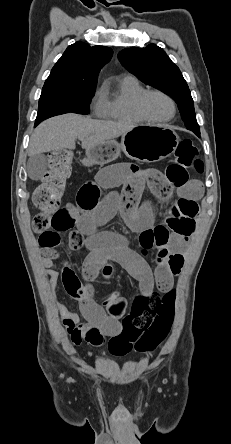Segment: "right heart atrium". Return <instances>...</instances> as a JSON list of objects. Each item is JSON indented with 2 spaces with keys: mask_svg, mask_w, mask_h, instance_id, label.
Masks as SVG:
<instances>
[{
  "mask_svg": "<svg viewBox=\"0 0 231 444\" xmlns=\"http://www.w3.org/2000/svg\"><path fill=\"white\" fill-rule=\"evenodd\" d=\"M91 106L95 115L103 117L107 109V97L104 87L96 90L91 101Z\"/></svg>",
  "mask_w": 231,
  "mask_h": 444,
  "instance_id": "d8ad5b80",
  "label": "right heart atrium"
}]
</instances>
